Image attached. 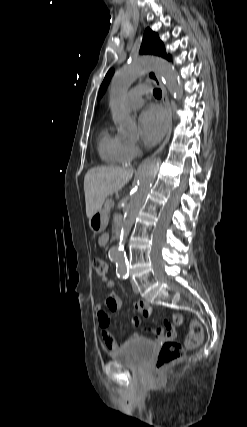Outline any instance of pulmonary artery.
I'll return each instance as SVG.
<instances>
[{
	"mask_svg": "<svg viewBox=\"0 0 247 427\" xmlns=\"http://www.w3.org/2000/svg\"><path fill=\"white\" fill-rule=\"evenodd\" d=\"M147 92L148 88L143 85H139L130 90L123 100L125 108L128 110H135L139 108L144 102L143 95Z\"/></svg>",
	"mask_w": 247,
	"mask_h": 427,
	"instance_id": "pulmonary-artery-1",
	"label": "pulmonary artery"
}]
</instances>
